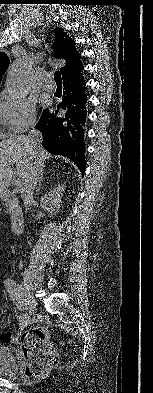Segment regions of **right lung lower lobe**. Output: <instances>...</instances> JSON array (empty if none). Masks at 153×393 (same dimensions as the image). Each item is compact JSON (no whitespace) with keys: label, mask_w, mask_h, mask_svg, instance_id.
Wrapping results in <instances>:
<instances>
[{"label":"right lung lower lobe","mask_w":153,"mask_h":393,"mask_svg":"<svg viewBox=\"0 0 153 393\" xmlns=\"http://www.w3.org/2000/svg\"><path fill=\"white\" fill-rule=\"evenodd\" d=\"M83 69V68H82ZM65 75L62 101L56 111L45 110L35 126L43 134V147L52 154L71 159L82 174L85 171L84 135L86 96L81 70Z\"/></svg>","instance_id":"98d812e1"}]
</instances>
